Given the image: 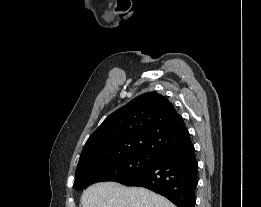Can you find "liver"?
<instances>
[{"label": "liver", "mask_w": 261, "mask_h": 207, "mask_svg": "<svg viewBox=\"0 0 261 207\" xmlns=\"http://www.w3.org/2000/svg\"><path fill=\"white\" fill-rule=\"evenodd\" d=\"M82 207H176L165 197L141 187L116 182L89 186L81 196Z\"/></svg>", "instance_id": "obj_1"}]
</instances>
